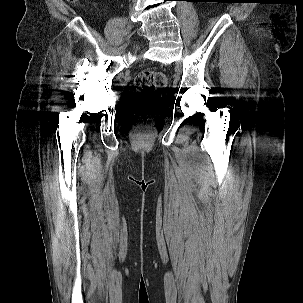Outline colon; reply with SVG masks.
Returning a JSON list of instances; mask_svg holds the SVG:
<instances>
[{
	"label": "colon",
	"instance_id": "5ec220e1",
	"mask_svg": "<svg viewBox=\"0 0 303 303\" xmlns=\"http://www.w3.org/2000/svg\"><path fill=\"white\" fill-rule=\"evenodd\" d=\"M76 2V0H70ZM167 85L166 76L154 70H144L137 74L135 87L138 92L133 97L134 106L139 115L147 119L166 102V94L160 89Z\"/></svg>",
	"mask_w": 303,
	"mask_h": 303
}]
</instances>
